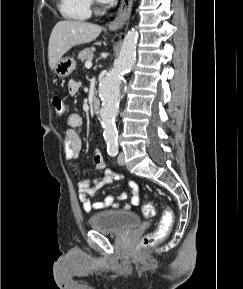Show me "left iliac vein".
<instances>
[{
	"label": "left iliac vein",
	"mask_w": 243,
	"mask_h": 289,
	"mask_svg": "<svg viewBox=\"0 0 243 289\" xmlns=\"http://www.w3.org/2000/svg\"><path fill=\"white\" fill-rule=\"evenodd\" d=\"M117 161H118V164H119V165H124V163H125V157H124V153H123V152H121V153L119 154Z\"/></svg>",
	"instance_id": "obj_1"
}]
</instances>
